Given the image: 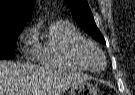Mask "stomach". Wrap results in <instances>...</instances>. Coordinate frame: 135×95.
Returning <instances> with one entry per match:
<instances>
[{
	"instance_id": "stomach-1",
	"label": "stomach",
	"mask_w": 135,
	"mask_h": 95,
	"mask_svg": "<svg viewBox=\"0 0 135 95\" xmlns=\"http://www.w3.org/2000/svg\"><path fill=\"white\" fill-rule=\"evenodd\" d=\"M69 95H98L97 88L88 81H84L74 86L69 91Z\"/></svg>"
}]
</instances>
